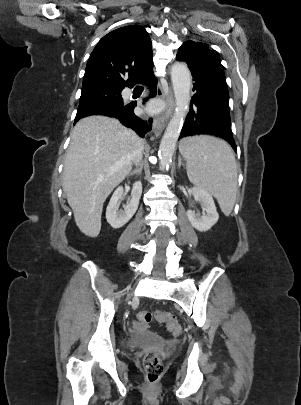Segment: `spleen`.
Listing matches in <instances>:
<instances>
[{"mask_svg": "<svg viewBox=\"0 0 301 405\" xmlns=\"http://www.w3.org/2000/svg\"><path fill=\"white\" fill-rule=\"evenodd\" d=\"M179 151L189 180L210 192L229 216L237 193V165L230 146L218 138L193 136L181 140Z\"/></svg>", "mask_w": 301, "mask_h": 405, "instance_id": "3e777b00", "label": "spleen"}]
</instances>
